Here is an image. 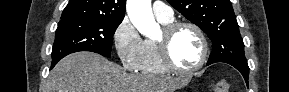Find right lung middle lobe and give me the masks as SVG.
I'll list each match as a JSON object with an SVG mask.
<instances>
[{"label": "right lung middle lobe", "instance_id": "right-lung-middle-lobe-1", "mask_svg": "<svg viewBox=\"0 0 289 92\" xmlns=\"http://www.w3.org/2000/svg\"><path fill=\"white\" fill-rule=\"evenodd\" d=\"M121 22L78 18L60 20L55 32L52 64L78 51L110 57L112 37Z\"/></svg>", "mask_w": 289, "mask_h": 92}]
</instances>
